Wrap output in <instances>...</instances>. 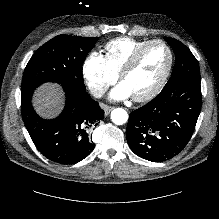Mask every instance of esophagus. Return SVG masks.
<instances>
[{
	"mask_svg": "<svg viewBox=\"0 0 219 219\" xmlns=\"http://www.w3.org/2000/svg\"><path fill=\"white\" fill-rule=\"evenodd\" d=\"M113 109H114V107L105 105L104 106L105 116H107Z\"/></svg>",
	"mask_w": 219,
	"mask_h": 219,
	"instance_id": "obj_1",
	"label": "esophagus"
}]
</instances>
